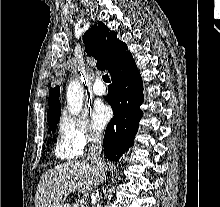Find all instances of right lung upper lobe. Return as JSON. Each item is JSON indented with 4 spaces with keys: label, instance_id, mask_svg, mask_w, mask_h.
I'll return each instance as SVG.
<instances>
[{
    "label": "right lung upper lobe",
    "instance_id": "right-lung-upper-lobe-1",
    "mask_svg": "<svg viewBox=\"0 0 220 207\" xmlns=\"http://www.w3.org/2000/svg\"><path fill=\"white\" fill-rule=\"evenodd\" d=\"M85 51L88 56H93L96 66L100 70H108L112 73L113 67L129 52L126 44L121 42L114 31H110L102 22L96 23L88 30L84 37ZM60 87L52 86L49 91V109L47 120L52 119L61 111Z\"/></svg>",
    "mask_w": 220,
    "mask_h": 207
}]
</instances>
